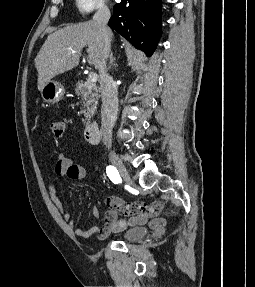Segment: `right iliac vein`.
I'll list each match as a JSON object with an SVG mask.
<instances>
[{"label": "right iliac vein", "mask_w": 255, "mask_h": 287, "mask_svg": "<svg viewBox=\"0 0 255 287\" xmlns=\"http://www.w3.org/2000/svg\"><path fill=\"white\" fill-rule=\"evenodd\" d=\"M108 156H109L110 162L114 165L115 168H117V170L119 171L123 179L129 184H132L128 171L123 165L118 155L114 151L110 150Z\"/></svg>", "instance_id": "obj_1"}]
</instances>
